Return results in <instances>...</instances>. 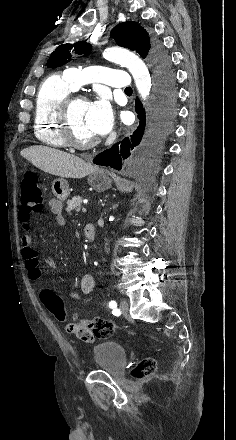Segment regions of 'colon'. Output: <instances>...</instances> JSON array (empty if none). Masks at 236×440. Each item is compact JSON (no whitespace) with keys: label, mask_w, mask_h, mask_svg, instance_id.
I'll return each mask as SVG.
<instances>
[{"label":"colon","mask_w":236,"mask_h":440,"mask_svg":"<svg viewBox=\"0 0 236 440\" xmlns=\"http://www.w3.org/2000/svg\"><path fill=\"white\" fill-rule=\"evenodd\" d=\"M43 205V193L39 185L38 177L34 172H26L21 181V206L20 213L22 220L29 221L33 214L38 213ZM41 298L48 311L53 314L59 321H67L68 314L65 309L63 300L53 291L44 290ZM69 324H86L87 330L91 331L93 338L104 339L110 337L115 325L112 321L104 318L95 319H77L72 317ZM157 363L153 358L147 357L137 364L133 370L132 376L137 380H143L151 376L156 370Z\"/></svg>","instance_id":"5ec220e1"}]
</instances>
